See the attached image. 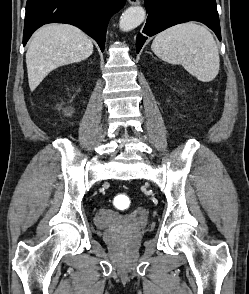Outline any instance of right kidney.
<instances>
[{
	"label": "right kidney",
	"mask_w": 249,
	"mask_h": 294,
	"mask_svg": "<svg viewBox=\"0 0 249 294\" xmlns=\"http://www.w3.org/2000/svg\"><path fill=\"white\" fill-rule=\"evenodd\" d=\"M64 112L67 114V115H71L73 113L72 109L71 108H67L64 110Z\"/></svg>",
	"instance_id": "right-kidney-1"
}]
</instances>
